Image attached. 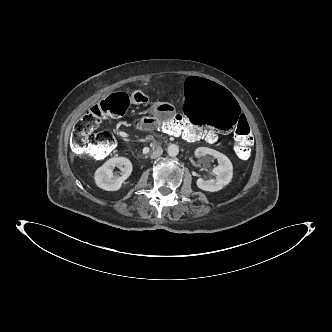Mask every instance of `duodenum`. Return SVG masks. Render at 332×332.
Segmentation results:
<instances>
[{
	"instance_id": "1",
	"label": "duodenum",
	"mask_w": 332,
	"mask_h": 332,
	"mask_svg": "<svg viewBox=\"0 0 332 332\" xmlns=\"http://www.w3.org/2000/svg\"><path fill=\"white\" fill-rule=\"evenodd\" d=\"M158 120H159L158 117H155V118L151 119L150 122H151V124H152L153 126H155V123H156ZM182 138L185 139V140L188 141V142L193 141V137H192V134H191L190 131H185V132H183V133H182ZM212 139H213V136H211L210 134H208V135H207V140H208V141H211Z\"/></svg>"
}]
</instances>
